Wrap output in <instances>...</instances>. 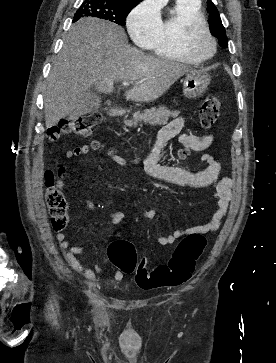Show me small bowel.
<instances>
[{
	"instance_id": "obj_1",
	"label": "small bowel",
	"mask_w": 276,
	"mask_h": 363,
	"mask_svg": "<svg viewBox=\"0 0 276 363\" xmlns=\"http://www.w3.org/2000/svg\"><path fill=\"white\" fill-rule=\"evenodd\" d=\"M184 124V118L176 117L160 129L148 155L144 159V169L146 173L155 180L182 187L205 188L213 186L216 209L210 220L202 226L178 228L172 234L159 237L157 242L160 245H171L176 240L188 234H209L215 232L223 222L232 198L233 180L229 177L220 178L222 169L221 162L209 154H204L201 157V161L205 167L197 171H191L184 165L168 166L159 164L158 160L161 148L167 141L174 137H177L185 148L193 151H204L213 144L215 133L206 135L184 134L182 133ZM89 152V145H81L68 150L65 155L68 159H73L87 155ZM112 159L123 166L128 164L124 159L117 155H113ZM64 185L65 167H62L56 186L61 189ZM87 207L95 209V206L91 202L87 203ZM155 214L156 212L152 208L143 213V218L152 219ZM123 219L124 213L116 212L111 214L110 223L118 224L121 223ZM56 238L63 250L65 259L72 269L84 276L91 284H95L103 279H112L116 282H120L124 279V274L120 270L106 272L97 265L88 267L82 264L77 256L84 252L85 248L81 245L70 246L69 241L66 239V235L62 232L57 233Z\"/></svg>"
}]
</instances>
